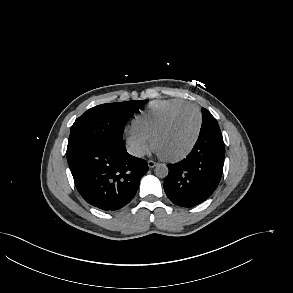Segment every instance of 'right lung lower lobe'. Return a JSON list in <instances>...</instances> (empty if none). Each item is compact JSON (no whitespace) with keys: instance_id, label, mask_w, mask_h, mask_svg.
I'll list each match as a JSON object with an SVG mask.
<instances>
[{"instance_id":"right-lung-lower-lobe-1","label":"right lung lower lobe","mask_w":293,"mask_h":293,"mask_svg":"<svg viewBox=\"0 0 293 293\" xmlns=\"http://www.w3.org/2000/svg\"><path fill=\"white\" fill-rule=\"evenodd\" d=\"M76 188L92 206L118 210L134 197L147 162L127 153L122 140H106L67 157Z\"/></svg>"}]
</instances>
